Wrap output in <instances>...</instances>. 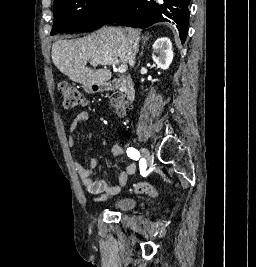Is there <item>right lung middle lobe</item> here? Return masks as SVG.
I'll list each match as a JSON object with an SVG mask.
<instances>
[{"mask_svg": "<svg viewBox=\"0 0 256 267\" xmlns=\"http://www.w3.org/2000/svg\"><path fill=\"white\" fill-rule=\"evenodd\" d=\"M132 0H57L51 35L93 31L121 17Z\"/></svg>", "mask_w": 256, "mask_h": 267, "instance_id": "1", "label": "right lung middle lobe"}]
</instances>
